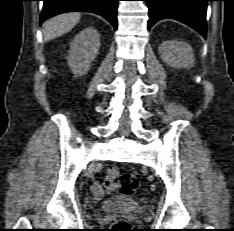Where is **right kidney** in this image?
Segmentation results:
<instances>
[{
    "label": "right kidney",
    "instance_id": "ca27d5eb",
    "mask_svg": "<svg viewBox=\"0 0 234 231\" xmlns=\"http://www.w3.org/2000/svg\"><path fill=\"white\" fill-rule=\"evenodd\" d=\"M100 36L93 27L81 31L71 42L67 61L75 76L84 75L98 54Z\"/></svg>",
    "mask_w": 234,
    "mask_h": 231
}]
</instances>
